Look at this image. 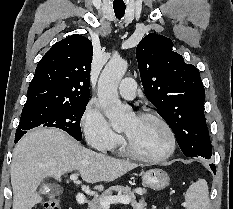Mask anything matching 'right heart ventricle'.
I'll return each mask as SVG.
<instances>
[{
	"label": "right heart ventricle",
	"instance_id": "obj_1",
	"mask_svg": "<svg viewBox=\"0 0 233 209\" xmlns=\"http://www.w3.org/2000/svg\"><path fill=\"white\" fill-rule=\"evenodd\" d=\"M112 151H115V148L114 149H111ZM116 152L118 153V154H123V149L122 148H119V149H117L116 150Z\"/></svg>",
	"mask_w": 233,
	"mask_h": 209
}]
</instances>
